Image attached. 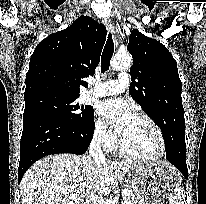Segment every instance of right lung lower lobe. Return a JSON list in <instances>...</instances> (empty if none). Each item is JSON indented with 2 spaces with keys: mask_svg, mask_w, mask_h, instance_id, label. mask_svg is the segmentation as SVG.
<instances>
[{
  "mask_svg": "<svg viewBox=\"0 0 206 204\" xmlns=\"http://www.w3.org/2000/svg\"><path fill=\"white\" fill-rule=\"evenodd\" d=\"M94 126V118L79 125L44 111L23 114L18 183L27 169L42 157L56 153H85Z\"/></svg>",
  "mask_w": 206,
  "mask_h": 204,
  "instance_id": "right-lung-lower-lobe-1",
  "label": "right lung lower lobe"
}]
</instances>
